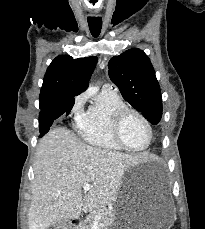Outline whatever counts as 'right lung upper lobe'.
<instances>
[{
  "label": "right lung upper lobe",
  "mask_w": 205,
  "mask_h": 229,
  "mask_svg": "<svg viewBox=\"0 0 205 229\" xmlns=\"http://www.w3.org/2000/svg\"><path fill=\"white\" fill-rule=\"evenodd\" d=\"M97 57L73 59L69 55L56 57L49 65L40 93V102L49 106L58 100L79 95L88 87Z\"/></svg>",
  "instance_id": "right-lung-upper-lobe-1"
}]
</instances>
